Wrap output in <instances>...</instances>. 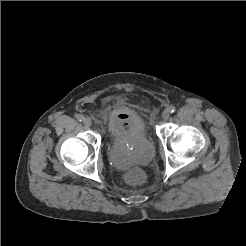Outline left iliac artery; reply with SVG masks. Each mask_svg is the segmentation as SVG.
<instances>
[{
  "label": "left iliac artery",
  "instance_id": "44dca946",
  "mask_svg": "<svg viewBox=\"0 0 246 246\" xmlns=\"http://www.w3.org/2000/svg\"><path fill=\"white\" fill-rule=\"evenodd\" d=\"M170 113H173L175 111V107L174 106H169L167 109Z\"/></svg>",
  "mask_w": 246,
  "mask_h": 246
}]
</instances>
